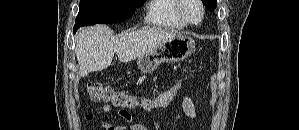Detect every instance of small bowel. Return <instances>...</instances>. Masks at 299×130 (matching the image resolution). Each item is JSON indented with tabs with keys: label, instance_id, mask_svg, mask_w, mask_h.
<instances>
[{
	"label": "small bowel",
	"instance_id": "1",
	"mask_svg": "<svg viewBox=\"0 0 299 130\" xmlns=\"http://www.w3.org/2000/svg\"><path fill=\"white\" fill-rule=\"evenodd\" d=\"M183 109L186 114V116L190 120H194L197 117L196 107L194 103V99L190 94L185 95L183 99ZM103 112L111 114L113 112V109L110 105H104L102 107ZM118 115L123 118L126 121L131 120L130 114L126 110H120L118 112ZM93 119V114H87L85 116L86 121H91ZM152 128L153 130H162L160 125L156 122L151 123L149 126H146L141 123L131 124V125H121V126H113L110 123H103L102 124V130H125V129H131V130H149L148 128Z\"/></svg>",
	"mask_w": 299,
	"mask_h": 130
}]
</instances>
